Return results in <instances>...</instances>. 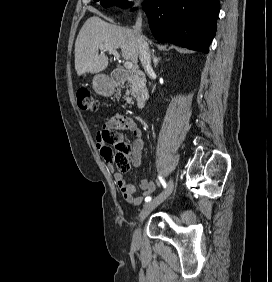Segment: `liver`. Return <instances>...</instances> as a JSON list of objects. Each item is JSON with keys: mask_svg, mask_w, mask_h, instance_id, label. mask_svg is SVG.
<instances>
[{"mask_svg": "<svg viewBox=\"0 0 272 282\" xmlns=\"http://www.w3.org/2000/svg\"><path fill=\"white\" fill-rule=\"evenodd\" d=\"M121 49L126 61L137 65L139 44L134 30L110 24L97 16L90 17L82 26L75 42V69L78 76L105 70L109 58L99 54V46Z\"/></svg>", "mask_w": 272, "mask_h": 282, "instance_id": "obj_1", "label": "liver"}]
</instances>
